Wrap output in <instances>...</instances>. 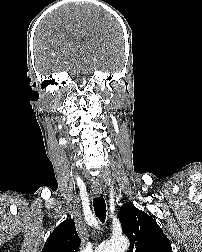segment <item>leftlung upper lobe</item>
Here are the masks:
<instances>
[{
	"mask_svg": "<svg viewBox=\"0 0 202 252\" xmlns=\"http://www.w3.org/2000/svg\"><path fill=\"white\" fill-rule=\"evenodd\" d=\"M119 219L123 233L131 241L128 252H172L170 241L156 221L132 202L120 209Z\"/></svg>",
	"mask_w": 202,
	"mask_h": 252,
	"instance_id": "1",
	"label": "left lung upper lobe"
}]
</instances>
